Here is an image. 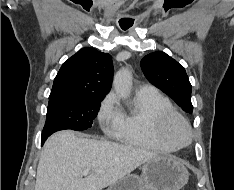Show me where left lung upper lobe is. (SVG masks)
Returning a JSON list of instances; mask_svg holds the SVG:
<instances>
[{"label": "left lung upper lobe", "mask_w": 234, "mask_h": 190, "mask_svg": "<svg viewBox=\"0 0 234 190\" xmlns=\"http://www.w3.org/2000/svg\"><path fill=\"white\" fill-rule=\"evenodd\" d=\"M141 68L150 83L174 99L183 110L192 113V86L182 65L164 52L157 51L141 60Z\"/></svg>", "instance_id": "5c2ea615"}]
</instances>
